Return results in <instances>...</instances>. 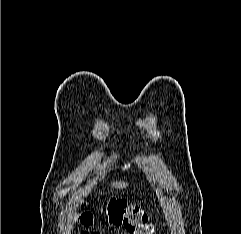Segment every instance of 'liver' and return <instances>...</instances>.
Segmentation results:
<instances>
[{
    "label": "liver",
    "mask_w": 241,
    "mask_h": 234,
    "mask_svg": "<svg viewBox=\"0 0 241 234\" xmlns=\"http://www.w3.org/2000/svg\"><path fill=\"white\" fill-rule=\"evenodd\" d=\"M127 185H128L127 183L122 182V181L112 183V186H113L114 188H118V189L126 188Z\"/></svg>",
    "instance_id": "liver-1"
}]
</instances>
